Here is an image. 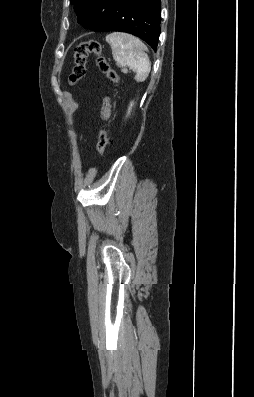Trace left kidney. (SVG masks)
<instances>
[{"instance_id": "left-kidney-1", "label": "left kidney", "mask_w": 254, "mask_h": 397, "mask_svg": "<svg viewBox=\"0 0 254 397\" xmlns=\"http://www.w3.org/2000/svg\"><path fill=\"white\" fill-rule=\"evenodd\" d=\"M133 104H134V103L131 102V104H130V106H129V109H128V114H130Z\"/></svg>"}]
</instances>
